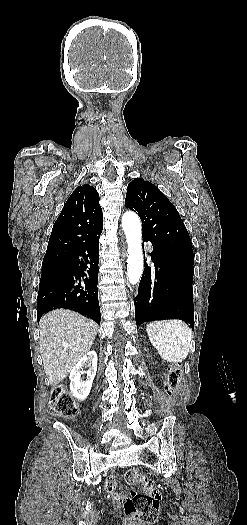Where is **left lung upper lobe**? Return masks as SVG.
Masks as SVG:
<instances>
[{
  "label": "left lung upper lobe",
  "mask_w": 247,
  "mask_h": 525,
  "mask_svg": "<svg viewBox=\"0 0 247 525\" xmlns=\"http://www.w3.org/2000/svg\"><path fill=\"white\" fill-rule=\"evenodd\" d=\"M126 207L135 211L141 221L143 235L160 241L168 251L194 263L191 239L173 204L151 182L136 178L129 183Z\"/></svg>",
  "instance_id": "5c2ea615"
}]
</instances>
